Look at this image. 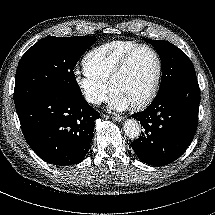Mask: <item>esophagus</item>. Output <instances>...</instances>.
<instances>
[{"mask_svg":"<svg viewBox=\"0 0 215 215\" xmlns=\"http://www.w3.org/2000/svg\"><path fill=\"white\" fill-rule=\"evenodd\" d=\"M124 118H125L124 116H116V117H113V120L120 122V121L124 120Z\"/></svg>","mask_w":215,"mask_h":215,"instance_id":"esophagus-1","label":"esophagus"}]
</instances>
